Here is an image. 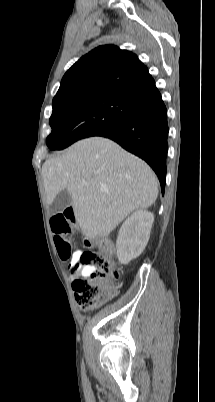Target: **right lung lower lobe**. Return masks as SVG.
I'll use <instances>...</instances> for the list:
<instances>
[{
	"instance_id": "98d812e1",
	"label": "right lung lower lobe",
	"mask_w": 215,
	"mask_h": 402,
	"mask_svg": "<svg viewBox=\"0 0 215 402\" xmlns=\"http://www.w3.org/2000/svg\"><path fill=\"white\" fill-rule=\"evenodd\" d=\"M167 109L161 94L141 101L121 124L101 135L145 160L156 173L164 194L168 152Z\"/></svg>"
}]
</instances>
